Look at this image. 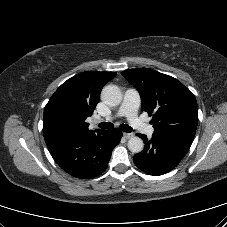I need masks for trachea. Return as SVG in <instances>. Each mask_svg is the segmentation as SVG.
I'll list each match as a JSON object with an SVG mask.
<instances>
[{
  "mask_svg": "<svg viewBox=\"0 0 227 227\" xmlns=\"http://www.w3.org/2000/svg\"><path fill=\"white\" fill-rule=\"evenodd\" d=\"M99 127L102 128V129H110V128H113L114 125L110 122H102V123L99 124ZM119 128L122 131L127 132V133H130V132L133 131V129L127 124H121Z\"/></svg>",
  "mask_w": 227,
  "mask_h": 227,
  "instance_id": "1",
  "label": "trachea"
}]
</instances>
